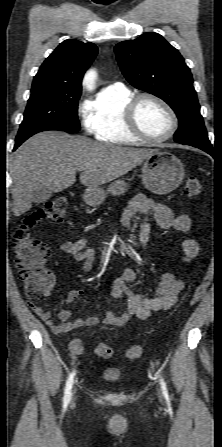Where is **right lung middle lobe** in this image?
<instances>
[{"instance_id": "right-lung-middle-lobe-1", "label": "right lung middle lobe", "mask_w": 222, "mask_h": 447, "mask_svg": "<svg viewBox=\"0 0 222 447\" xmlns=\"http://www.w3.org/2000/svg\"><path fill=\"white\" fill-rule=\"evenodd\" d=\"M79 98L80 95H65L48 86L32 88L24 120L16 137V145L45 130L79 131Z\"/></svg>"}]
</instances>
